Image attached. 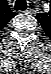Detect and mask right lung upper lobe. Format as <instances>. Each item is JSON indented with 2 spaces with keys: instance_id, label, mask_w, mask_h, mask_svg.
Masks as SVG:
<instances>
[{
  "instance_id": "obj_1",
  "label": "right lung upper lobe",
  "mask_w": 51,
  "mask_h": 74,
  "mask_svg": "<svg viewBox=\"0 0 51 74\" xmlns=\"http://www.w3.org/2000/svg\"><path fill=\"white\" fill-rule=\"evenodd\" d=\"M5 12H6V17H5L3 27L9 22L10 19H12L16 15L14 12H12L9 9V7L6 8Z\"/></svg>"
}]
</instances>
